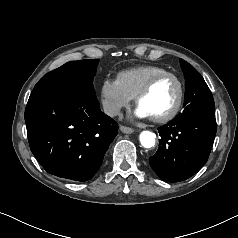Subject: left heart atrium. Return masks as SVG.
<instances>
[{"label":"left heart atrium","instance_id":"39dd6f15","mask_svg":"<svg viewBox=\"0 0 238 238\" xmlns=\"http://www.w3.org/2000/svg\"><path fill=\"white\" fill-rule=\"evenodd\" d=\"M134 116L136 118H139V119H143V118L149 117V115L143 109H141L139 106L134 111Z\"/></svg>","mask_w":238,"mask_h":238}]
</instances>
